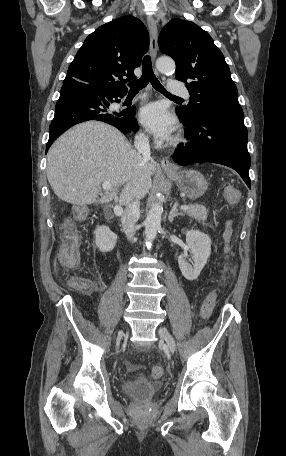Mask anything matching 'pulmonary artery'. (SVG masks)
I'll list each match as a JSON object with an SVG mask.
<instances>
[{"label": "pulmonary artery", "mask_w": 286, "mask_h": 456, "mask_svg": "<svg viewBox=\"0 0 286 456\" xmlns=\"http://www.w3.org/2000/svg\"><path fill=\"white\" fill-rule=\"evenodd\" d=\"M178 84L176 79L170 80L169 93L175 96L189 97V92L184 87H181ZM144 96H139L137 98H143Z\"/></svg>", "instance_id": "pulmonary-artery-1"}]
</instances>
